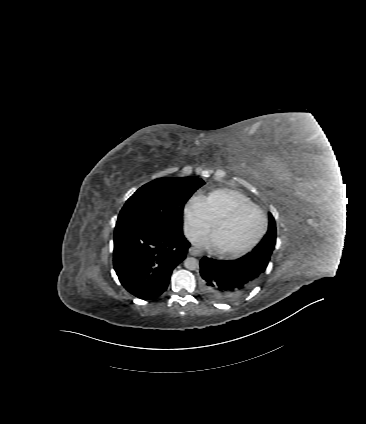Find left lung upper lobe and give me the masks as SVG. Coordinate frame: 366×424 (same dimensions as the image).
<instances>
[{"label": "left lung upper lobe", "instance_id": "1", "mask_svg": "<svg viewBox=\"0 0 366 424\" xmlns=\"http://www.w3.org/2000/svg\"><path fill=\"white\" fill-rule=\"evenodd\" d=\"M276 224L273 216L269 213L268 232L262 241L248 254L252 257L259 258L268 264L271 254L276 243Z\"/></svg>", "mask_w": 366, "mask_h": 424}]
</instances>
